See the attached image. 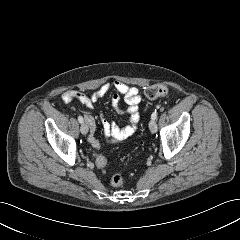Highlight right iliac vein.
<instances>
[{
    "label": "right iliac vein",
    "mask_w": 240,
    "mask_h": 240,
    "mask_svg": "<svg viewBox=\"0 0 240 240\" xmlns=\"http://www.w3.org/2000/svg\"><path fill=\"white\" fill-rule=\"evenodd\" d=\"M80 131L82 134L86 135L88 133V127L85 123H82L81 127H80Z\"/></svg>",
    "instance_id": "63e3f726"
}]
</instances>
